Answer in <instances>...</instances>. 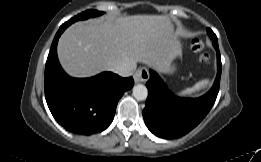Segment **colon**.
<instances>
[{"mask_svg": "<svg viewBox=\"0 0 261 162\" xmlns=\"http://www.w3.org/2000/svg\"><path fill=\"white\" fill-rule=\"evenodd\" d=\"M192 49L200 54V61L205 65H210V57L207 53L203 51V43L199 39L192 41Z\"/></svg>", "mask_w": 261, "mask_h": 162, "instance_id": "obj_1", "label": "colon"}]
</instances>
